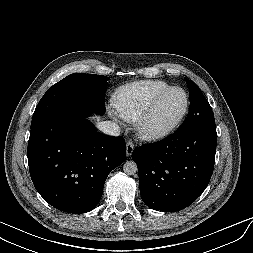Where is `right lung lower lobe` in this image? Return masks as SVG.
<instances>
[{
	"label": "right lung lower lobe",
	"mask_w": 253,
	"mask_h": 253,
	"mask_svg": "<svg viewBox=\"0 0 253 253\" xmlns=\"http://www.w3.org/2000/svg\"><path fill=\"white\" fill-rule=\"evenodd\" d=\"M87 117L68 113L30 130L32 182L44 200L68 213L94 209L108 174L126 158L124 139L97 132Z\"/></svg>",
	"instance_id": "right-lung-lower-lobe-1"
}]
</instances>
